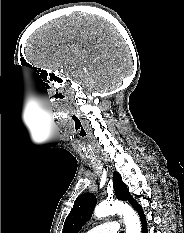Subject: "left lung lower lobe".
I'll return each mask as SVG.
<instances>
[{
  "mask_svg": "<svg viewBox=\"0 0 184 233\" xmlns=\"http://www.w3.org/2000/svg\"><path fill=\"white\" fill-rule=\"evenodd\" d=\"M132 206L137 210L138 214L140 215L142 221V233H147L146 219L141 206L136 201L132 204Z\"/></svg>",
  "mask_w": 184,
  "mask_h": 233,
  "instance_id": "left-lung-lower-lobe-1",
  "label": "left lung lower lobe"
}]
</instances>
